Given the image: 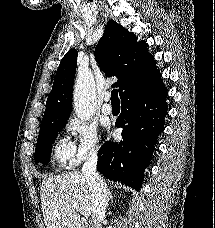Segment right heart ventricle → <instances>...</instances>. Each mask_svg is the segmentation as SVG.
<instances>
[{"label": "right heart ventricle", "mask_w": 215, "mask_h": 228, "mask_svg": "<svg viewBox=\"0 0 215 228\" xmlns=\"http://www.w3.org/2000/svg\"><path fill=\"white\" fill-rule=\"evenodd\" d=\"M72 145L64 138L57 142L55 146V159L61 165L71 161Z\"/></svg>", "instance_id": "e07e8e85"}]
</instances>
